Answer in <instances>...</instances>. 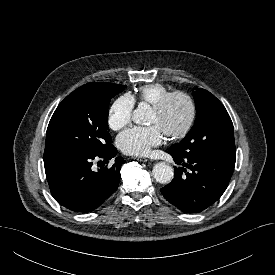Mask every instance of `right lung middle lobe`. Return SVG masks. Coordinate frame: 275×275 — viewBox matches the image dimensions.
I'll return each instance as SVG.
<instances>
[{
    "label": "right lung middle lobe",
    "instance_id": "right-lung-middle-lobe-1",
    "mask_svg": "<svg viewBox=\"0 0 275 275\" xmlns=\"http://www.w3.org/2000/svg\"><path fill=\"white\" fill-rule=\"evenodd\" d=\"M112 83L81 86L57 107L46 132L44 153L100 155L111 145L108 106L125 89Z\"/></svg>",
    "mask_w": 275,
    "mask_h": 275
}]
</instances>
